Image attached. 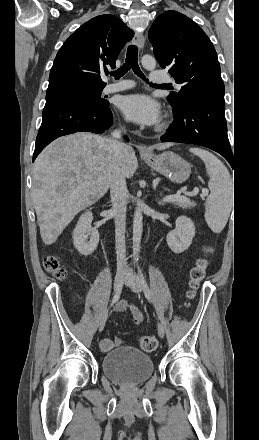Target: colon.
I'll list each match as a JSON object with an SVG mask.
<instances>
[{"label":"colon","instance_id":"1","mask_svg":"<svg viewBox=\"0 0 259 440\" xmlns=\"http://www.w3.org/2000/svg\"><path fill=\"white\" fill-rule=\"evenodd\" d=\"M210 248L204 249V256L197 260L195 266L190 273L189 291L187 297L194 298L201 281L203 280L208 265L207 257L210 253ZM44 268L51 273L55 278L63 280L67 276L66 269L60 264L55 256H47L44 258ZM140 347L147 352H152L157 348L158 342L155 337L143 336L139 339Z\"/></svg>","mask_w":259,"mask_h":440}]
</instances>
